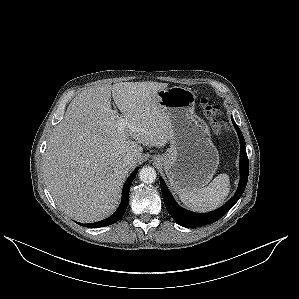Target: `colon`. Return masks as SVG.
<instances>
[{
  "label": "colon",
  "instance_id": "colon-1",
  "mask_svg": "<svg viewBox=\"0 0 299 299\" xmlns=\"http://www.w3.org/2000/svg\"><path fill=\"white\" fill-rule=\"evenodd\" d=\"M203 111L212 123L215 132L223 133L228 131L226 120L222 116L221 107L211 97H203L200 101Z\"/></svg>",
  "mask_w": 299,
  "mask_h": 299
}]
</instances>
